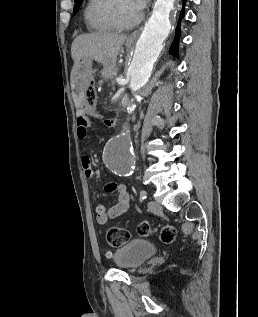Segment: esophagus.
I'll list each match as a JSON object with an SVG mask.
<instances>
[{"label": "esophagus", "instance_id": "esophagus-1", "mask_svg": "<svg viewBox=\"0 0 258 317\" xmlns=\"http://www.w3.org/2000/svg\"><path fill=\"white\" fill-rule=\"evenodd\" d=\"M140 30H141V29L136 30L135 32H133V33L129 34V35H128V39H129V40H134V39H137V37H138V34H139Z\"/></svg>", "mask_w": 258, "mask_h": 317}]
</instances>
